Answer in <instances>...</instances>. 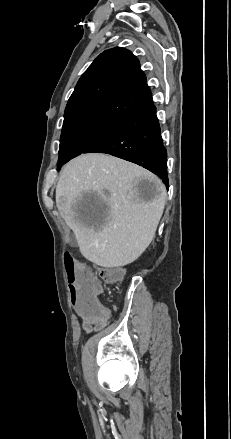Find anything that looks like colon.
<instances>
[{"label":"colon","mask_w":231,"mask_h":439,"mask_svg":"<svg viewBox=\"0 0 231 439\" xmlns=\"http://www.w3.org/2000/svg\"><path fill=\"white\" fill-rule=\"evenodd\" d=\"M67 281L71 293L70 313H83L85 320H99L106 316V308L99 301L100 287L86 269L79 268L71 254L64 256ZM100 276L106 283L119 281L123 272L118 268H101Z\"/></svg>","instance_id":"colon-1"}]
</instances>
